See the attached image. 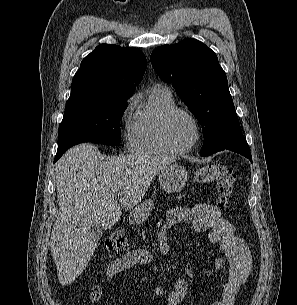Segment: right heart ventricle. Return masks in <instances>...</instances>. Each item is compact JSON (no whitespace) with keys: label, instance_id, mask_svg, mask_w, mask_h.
Masks as SVG:
<instances>
[{"label":"right heart ventricle","instance_id":"right-heart-ventricle-1","mask_svg":"<svg viewBox=\"0 0 297 305\" xmlns=\"http://www.w3.org/2000/svg\"><path fill=\"white\" fill-rule=\"evenodd\" d=\"M172 107L176 104L171 91L155 85L134 115L128 139L131 151L139 154L169 152L159 139L158 123L162 114Z\"/></svg>","mask_w":297,"mask_h":305}]
</instances>
